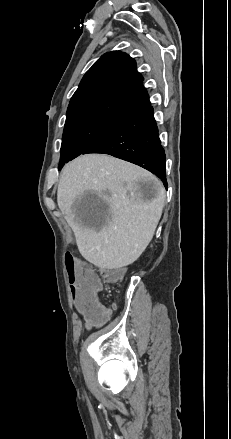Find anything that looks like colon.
<instances>
[{"label": "colon", "instance_id": "1", "mask_svg": "<svg viewBox=\"0 0 231 439\" xmlns=\"http://www.w3.org/2000/svg\"><path fill=\"white\" fill-rule=\"evenodd\" d=\"M68 281L71 291L75 295L74 304L69 306L71 313H83L86 320H106L107 308L98 298L99 285L92 272L87 270L86 261L80 260L77 265L74 257L69 253L65 256ZM123 275L120 269H108L102 272L106 282H116Z\"/></svg>", "mask_w": 231, "mask_h": 439}]
</instances>
